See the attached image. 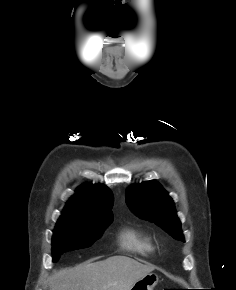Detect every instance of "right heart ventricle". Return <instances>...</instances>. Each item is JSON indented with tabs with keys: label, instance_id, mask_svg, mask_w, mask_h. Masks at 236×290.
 I'll return each mask as SVG.
<instances>
[{
	"label": "right heart ventricle",
	"instance_id": "1",
	"mask_svg": "<svg viewBox=\"0 0 236 290\" xmlns=\"http://www.w3.org/2000/svg\"><path fill=\"white\" fill-rule=\"evenodd\" d=\"M120 246L133 253L149 256L155 251L152 238L134 226L123 227L118 236Z\"/></svg>",
	"mask_w": 236,
	"mask_h": 290
}]
</instances>
